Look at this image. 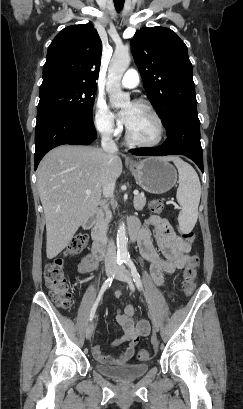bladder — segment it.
<instances>
[{
	"mask_svg": "<svg viewBox=\"0 0 243 409\" xmlns=\"http://www.w3.org/2000/svg\"><path fill=\"white\" fill-rule=\"evenodd\" d=\"M95 368L96 371L103 376L125 382L143 377L148 372L149 366L145 363H128L118 366H107L96 363Z\"/></svg>",
	"mask_w": 243,
	"mask_h": 409,
	"instance_id": "obj_1",
	"label": "bladder"
}]
</instances>
